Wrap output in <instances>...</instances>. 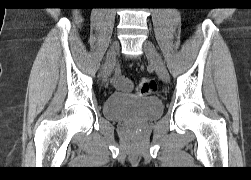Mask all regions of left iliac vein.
Instances as JSON below:
<instances>
[{
    "mask_svg": "<svg viewBox=\"0 0 251 180\" xmlns=\"http://www.w3.org/2000/svg\"><path fill=\"white\" fill-rule=\"evenodd\" d=\"M143 51L145 52L148 60L151 62L152 66L155 68L159 78L163 82H169L170 76L166 69V66L164 65L159 53L157 52L154 44L149 41L145 40L142 45Z\"/></svg>",
    "mask_w": 251,
    "mask_h": 180,
    "instance_id": "4c4485c4",
    "label": "left iliac vein"
}]
</instances>
